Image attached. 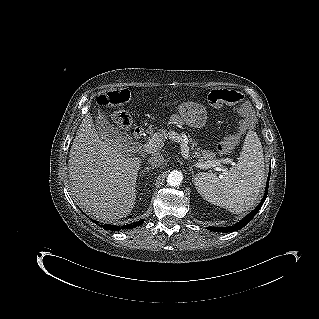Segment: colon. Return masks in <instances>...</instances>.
Here are the masks:
<instances>
[{
	"instance_id": "1",
	"label": "colon",
	"mask_w": 319,
	"mask_h": 319,
	"mask_svg": "<svg viewBox=\"0 0 319 319\" xmlns=\"http://www.w3.org/2000/svg\"><path fill=\"white\" fill-rule=\"evenodd\" d=\"M130 98V94L126 90L110 91L101 96L98 100L101 106H120L125 104ZM208 102L212 105L229 104L237 105L242 102V96L237 91L232 89H216L212 90L208 95ZM243 114L249 112V107L244 105L240 108ZM115 123L120 128L126 129L131 124V117L125 110H119L115 114ZM238 141L237 136L226 138L217 145V149L221 154H230L234 145Z\"/></svg>"
}]
</instances>
